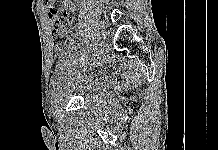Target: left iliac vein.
Wrapping results in <instances>:
<instances>
[{
	"instance_id": "1",
	"label": "left iliac vein",
	"mask_w": 218,
	"mask_h": 150,
	"mask_svg": "<svg viewBox=\"0 0 218 150\" xmlns=\"http://www.w3.org/2000/svg\"><path fill=\"white\" fill-rule=\"evenodd\" d=\"M100 33H101V44H103L104 46H100V49H98V53H97V60L96 63H93L90 65V68H87V71H82L80 74L82 76H91V73H93V69L95 68L96 65H101V61H102V54L103 51H106V46H107V42H106V34L104 32V28H100ZM79 73L76 75L78 78L81 76Z\"/></svg>"
}]
</instances>
